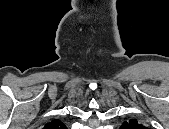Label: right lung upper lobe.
Wrapping results in <instances>:
<instances>
[{"label":"right lung upper lobe","instance_id":"obj_1","mask_svg":"<svg viewBox=\"0 0 169 129\" xmlns=\"http://www.w3.org/2000/svg\"><path fill=\"white\" fill-rule=\"evenodd\" d=\"M47 129H65V124L62 123L60 120H53L50 123L45 125Z\"/></svg>","mask_w":169,"mask_h":129}]
</instances>
